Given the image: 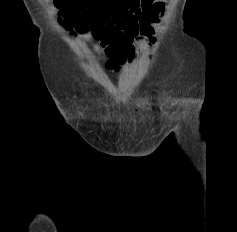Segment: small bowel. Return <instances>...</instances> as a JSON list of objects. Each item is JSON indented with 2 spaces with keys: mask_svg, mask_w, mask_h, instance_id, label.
Masks as SVG:
<instances>
[{
  "mask_svg": "<svg viewBox=\"0 0 237 232\" xmlns=\"http://www.w3.org/2000/svg\"><path fill=\"white\" fill-rule=\"evenodd\" d=\"M145 1L129 14L107 20L99 32L82 36L98 54L106 56L108 67L116 71L133 57L136 44L145 42L151 46L157 40L165 3L164 0Z\"/></svg>",
  "mask_w": 237,
  "mask_h": 232,
  "instance_id": "c3829d8e",
  "label": "small bowel"
}]
</instances>
